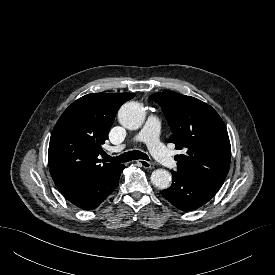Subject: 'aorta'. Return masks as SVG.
Here are the masks:
<instances>
[{"label":"aorta","instance_id":"aorta-1","mask_svg":"<svg viewBox=\"0 0 275 275\" xmlns=\"http://www.w3.org/2000/svg\"><path fill=\"white\" fill-rule=\"evenodd\" d=\"M118 119L122 126L129 130H136L141 127L145 120V109L142 104L131 101L120 108ZM151 182L158 189H167L171 183V175L167 170L157 169L151 174Z\"/></svg>","mask_w":275,"mask_h":275}]
</instances>
